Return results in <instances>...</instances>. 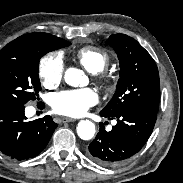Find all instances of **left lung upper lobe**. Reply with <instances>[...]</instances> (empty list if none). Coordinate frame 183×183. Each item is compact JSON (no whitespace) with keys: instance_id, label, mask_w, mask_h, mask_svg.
<instances>
[{"instance_id":"1","label":"left lung upper lobe","mask_w":183,"mask_h":183,"mask_svg":"<svg viewBox=\"0 0 183 183\" xmlns=\"http://www.w3.org/2000/svg\"><path fill=\"white\" fill-rule=\"evenodd\" d=\"M106 43L118 55L120 78L114 96L100 113L113 116L128 109L157 113L159 73L153 58L136 40L125 34L112 35Z\"/></svg>"}]
</instances>
